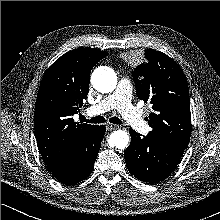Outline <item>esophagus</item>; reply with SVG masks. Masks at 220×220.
<instances>
[{"label": "esophagus", "instance_id": "1", "mask_svg": "<svg viewBox=\"0 0 220 220\" xmlns=\"http://www.w3.org/2000/svg\"><path fill=\"white\" fill-rule=\"evenodd\" d=\"M118 127H119L118 125H114V124H111V123L106 124V128L109 131L117 129Z\"/></svg>", "mask_w": 220, "mask_h": 220}]
</instances>
